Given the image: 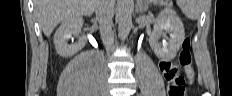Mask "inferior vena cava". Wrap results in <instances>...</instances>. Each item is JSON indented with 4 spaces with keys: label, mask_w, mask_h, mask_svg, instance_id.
I'll use <instances>...</instances> for the list:
<instances>
[{
    "label": "inferior vena cava",
    "mask_w": 232,
    "mask_h": 96,
    "mask_svg": "<svg viewBox=\"0 0 232 96\" xmlns=\"http://www.w3.org/2000/svg\"><path fill=\"white\" fill-rule=\"evenodd\" d=\"M114 6L115 0H97L95 9L102 41L108 51H112L114 43V36L112 32Z\"/></svg>",
    "instance_id": "1"
}]
</instances>
